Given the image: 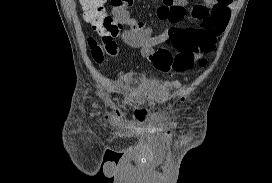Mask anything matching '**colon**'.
<instances>
[{
	"mask_svg": "<svg viewBox=\"0 0 272 183\" xmlns=\"http://www.w3.org/2000/svg\"><path fill=\"white\" fill-rule=\"evenodd\" d=\"M103 1L80 0L85 11V19L100 37V40L89 39L91 54L96 62H101L106 55L115 54L116 45L113 42V38L125 26L128 9L133 2V0H110L111 9L105 11ZM150 60L162 72L174 70L173 56L166 48L155 50L150 56ZM199 63L200 65H205V60H201Z\"/></svg>",
	"mask_w": 272,
	"mask_h": 183,
	"instance_id": "5ec220e1",
	"label": "colon"
}]
</instances>
